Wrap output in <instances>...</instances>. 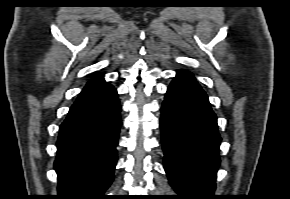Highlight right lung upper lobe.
Returning <instances> with one entry per match:
<instances>
[{
    "label": "right lung upper lobe",
    "mask_w": 290,
    "mask_h": 199,
    "mask_svg": "<svg viewBox=\"0 0 290 199\" xmlns=\"http://www.w3.org/2000/svg\"><path fill=\"white\" fill-rule=\"evenodd\" d=\"M103 81H104V80H103V77H102V76H97V77L93 78L92 80H90V81L86 84L85 88L90 87V86H93V85H96V84H98V83H100V82H103Z\"/></svg>",
    "instance_id": "1"
}]
</instances>
